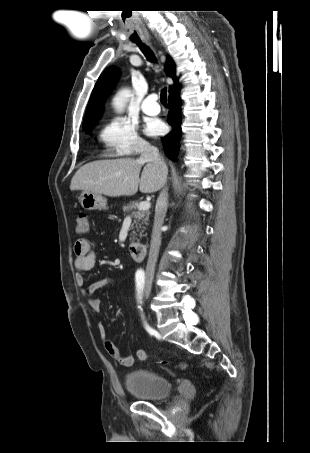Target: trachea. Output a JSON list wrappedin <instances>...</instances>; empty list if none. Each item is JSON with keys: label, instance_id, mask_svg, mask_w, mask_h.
I'll return each mask as SVG.
<instances>
[{"label": "trachea", "instance_id": "3493384b", "mask_svg": "<svg viewBox=\"0 0 310 453\" xmlns=\"http://www.w3.org/2000/svg\"><path fill=\"white\" fill-rule=\"evenodd\" d=\"M135 43L140 47L141 51L144 53V55L147 57V59L149 61H155V56L148 46L143 44L141 41H136ZM160 101L162 104L167 105V89L166 88H164L161 91Z\"/></svg>", "mask_w": 310, "mask_h": 453}]
</instances>
